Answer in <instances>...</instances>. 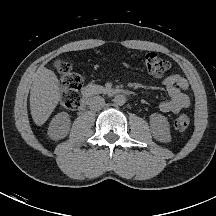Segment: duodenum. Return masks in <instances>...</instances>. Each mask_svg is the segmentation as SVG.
<instances>
[{
    "label": "duodenum",
    "mask_w": 216,
    "mask_h": 216,
    "mask_svg": "<svg viewBox=\"0 0 216 216\" xmlns=\"http://www.w3.org/2000/svg\"><path fill=\"white\" fill-rule=\"evenodd\" d=\"M107 94L109 95H128L129 91L122 88H110L107 90ZM91 100V92H86L82 96L81 102H80V110H84L89 102Z\"/></svg>",
    "instance_id": "410a0bca"
}]
</instances>
